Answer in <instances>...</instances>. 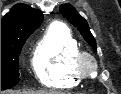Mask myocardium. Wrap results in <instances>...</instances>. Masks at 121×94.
Segmentation results:
<instances>
[{
	"mask_svg": "<svg viewBox=\"0 0 121 94\" xmlns=\"http://www.w3.org/2000/svg\"><path fill=\"white\" fill-rule=\"evenodd\" d=\"M98 70V62L90 53L80 51L75 57V71L81 78H88Z\"/></svg>",
	"mask_w": 121,
	"mask_h": 94,
	"instance_id": "f54148a6",
	"label": "myocardium"
}]
</instances>
